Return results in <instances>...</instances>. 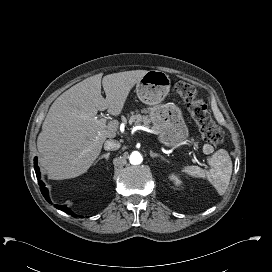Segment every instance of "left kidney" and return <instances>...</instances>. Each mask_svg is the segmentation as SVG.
I'll return each instance as SVG.
<instances>
[{
	"label": "left kidney",
	"instance_id": "5707ae66",
	"mask_svg": "<svg viewBox=\"0 0 272 272\" xmlns=\"http://www.w3.org/2000/svg\"><path fill=\"white\" fill-rule=\"evenodd\" d=\"M170 179L173 180L176 185H181L182 183L181 180L175 174H172L170 176Z\"/></svg>",
	"mask_w": 272,
	"mask_h": 272
}]
</instances>
